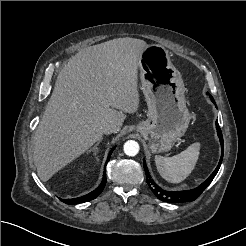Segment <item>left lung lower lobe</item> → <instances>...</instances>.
<instances>
[{"label":"left lung lower lobe","mask_w":246,"mask_h":246,"mask_svg":"<svg viewBox=\"0 0 246 246\" xmlns=\"http://www.w3.org/2000/svg\"><path fill=\"white\" fill-rule=\"evenodd\" d=\"M210 98L212 102L215 104V101L211 95H210ZM216 129H217V133H218L220 143H221V148H222V155H221L219 164L217 168L215 169V171L209 176V178L195 189L187 190V191H177V192H171V191H166V190L161 189L151 179V176L149 175L148 169L146 167V163L143 160V166H144L145 173H146L147 183L149 187L151 188V190L153 191V193L158 197V199L164 202H171V203H182V202L194 201L207 188V186L213 180V178L215 177V175L217 174L221 166L223 152H224L223 137H222V132L219 127L218 121H216Z\"/></svg>","instance_id":"1"}]
</instances>
